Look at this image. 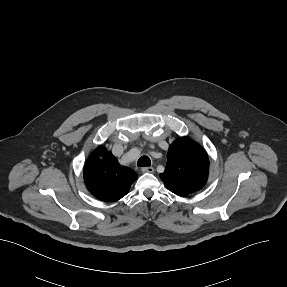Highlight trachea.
I'll list each match as a JSON object with an SVG mask.
<instances>
[{
    "instance_id": "trachea-1",
    "label": "trachea",
    "mask_w": 287,
    "mask_h": 287,
    "mask_svg": "<svg viewBox=\"0 0 287 287\" xmlns=\"http://www.w3.org/2000/svg\"><path fill=\"white\" fill-rule=\"evenodd\" d=\"M151 165V160L148 156H142L139 158L137 161V166L138 167H148Z\"/></svg>"
}]
</instances>
